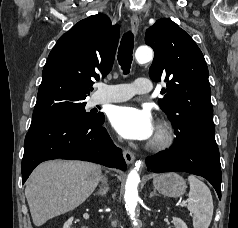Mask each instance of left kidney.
<instances>
[{"label": "left kidney", "instance_id": "left-kidney-1", "mask_svg": "<svg viewBox=\"0 0 238 228\" xmlns=\"http://www.w3.org/2000/svg\"><path fill=\"white\" fill-rule=\"evenodd\" d=\"M173 223L175 228H188L186 223L180 218L173 217Z\"/></svg>", "mask_w": 238, "mask_h": 228}]
</instances>
